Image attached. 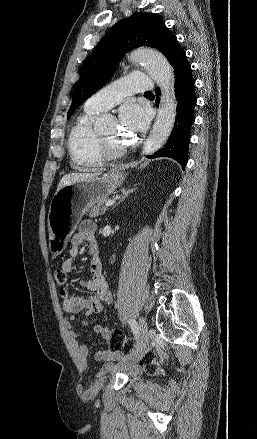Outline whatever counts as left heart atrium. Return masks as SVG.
I'll return each instance as SVG.
<instances>
[{
	"label": "left heart atrium",
	"mask_w": 257,
	"mask_h": 439,
	"mask_svg": "<svg viewBox=\"0 0 257 439\" xmlns=\"http://www.w3.org/2000/svg\"><path fill=\"white\" fill-rule=\"evenodd\" d=\"M147 110L136 103H129L120 110V124L123 132L130 137L143 133L148 125Z\"/></svg>",
	"instance_id": "left-heart-atrium-1"
}]
</instances>
